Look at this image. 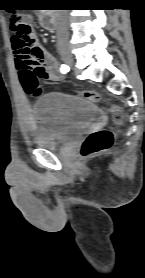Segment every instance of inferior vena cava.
<instances>
[{"mask_svg": "<svg viewBox=\"0 0 145 278\" xmlns=\"http://www.w3.org/2000/svg\"><path fill=\"white\" fill-rule=\"evenodd\" d=\"M68 41V28L66 15L64 11H59L58 26H57V43H67Z\"/></svg>", "mask_w": 145, "mask_h": 278, "instance_id": "obj_1", "label": "inferior vena cava"}]
</instances>
